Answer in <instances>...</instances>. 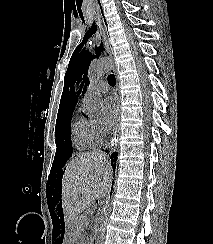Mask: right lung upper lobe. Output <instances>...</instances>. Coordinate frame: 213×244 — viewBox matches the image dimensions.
Listing matches in <instances>:
<instances>
[{"instance_id":"cb5924a9","label":"right lung upper lobe","mask_w":213,"mask_h":244,"mask_svg":"<svg viewBox=\"0 0 213 244\" xmlns=\"http://www.w3.org/2000/svg\"><path fill=\"white\" fill-rule=\"evenodd\" d=\"M77 103V96H75L67 105L66 107L64 108H59V111H58V116H61L69 111H72L74 110V107Z\"/></svg>"}]
</instances>
